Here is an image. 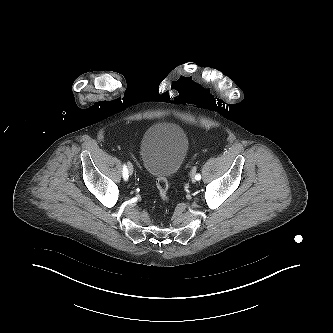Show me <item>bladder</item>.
<instances>
[{
	"instance_id": "31cf9c89",
	"label": "bladder",
	"mask_w": 333,
	"mask_h": 333,
	"mask_svg": "<svg viewBox=\"0 0 333 333\" xmlns=\"http://www.w3.org/2000/svg\"><path fill=\"white\" fill-rule=\"evenodd\" d=\"M188 146L187 135L179 125L167 122L151 125L139 145L144 171L152 177L174 176L186 158Z\"/></svg>"
}]
</instances>
